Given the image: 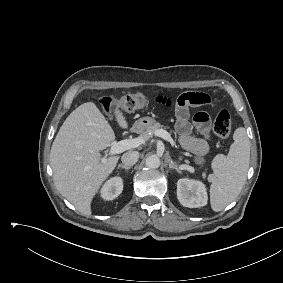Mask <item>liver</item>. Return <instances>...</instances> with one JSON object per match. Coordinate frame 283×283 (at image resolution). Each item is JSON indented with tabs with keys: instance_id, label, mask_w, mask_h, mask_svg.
Here are the masks:
<instances>
[{
	"instance_id": "6515ba94",
	"label": "liver",
	"mask_w": 283,
	"mask_h": 283,
	"mask_svg": "<svg viewBox=\"0 0 283 283\" xmlns=\"http://www.w3.org/2000/svg\"><path fill=\"white\" fill-rule=\"evenodd\" d=\"M114 116L121 128H128L118 106ZM114 140L106 118L93 102H87L66 118L52 144L50 164L56 187L83 215H91L93 197L118 163V156L99 154Z\"/></svg>"
}]
</instances>
